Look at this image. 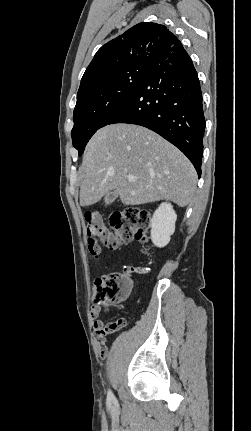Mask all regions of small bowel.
<instances>
[{
    "instance_id": "obj_1",
    "label": "small bowel",
    "mask_w": 251,
    "mask_h": 431,
    "mask_svg": "<svg viewBox=\"0 0 251 431\" xmlns=\"http://www.w3.org/2000/svg\"><path fill=\"white\" fill-rule=\"evenodd\" d=\"M146 273L148 269H144ZM101 312V306L94 305L91 309L90 316L92 320L93 329L95 332V338L97 343L100 346V359L103 362H106L109 359V356L106 354L109 351L108 346L105 345L106 336L117 329H110L109 324H105V322L100 319L99 315ZM119 329V328H118Z\"/></svg>"
}]
</instances>
